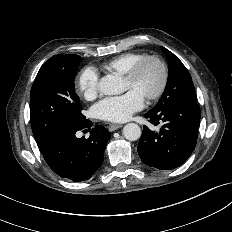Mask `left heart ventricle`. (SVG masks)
<instances>
[{
	"label": "left heart ventricle",
	"instance_id": "b2bd125f",
	"mask_svg": "<svg viewBox=\"0 0 232 232\" xmlns=\"http://www.w3.org/2000/svg\"><path fill=\"white\" fill-rule=\"evenodd\" d=\"M160 71L157 65L149 63L143 67L137 79L133 82L125 79L127 89L137 91L144 98L153 93L159 85Z\"/></svg>",
	"mask_w": 232,
	"mask_h": 232
}]
</instances>
